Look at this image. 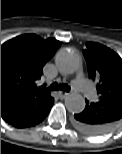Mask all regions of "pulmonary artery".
I'll use <instances>...</instances> for the list:
<instances>
[{
  "label": "pulmonary artery",
  "mask_w": 122,
  "mask_h": 154,
  "mask_svg": "<svg viewBox=\"0 0 122 154\" xmlns=\"http://www.w3.org/2000/svg\"><path fill=\"white\" fill-rule=\"evenodd\" d=\"M74 87L86 98H90L93 94L92 88L87 84L82 74H77L73 82Z\"/></svg>",
  "instance_id": "pulmonary-artery-1"
}]
</instances>
